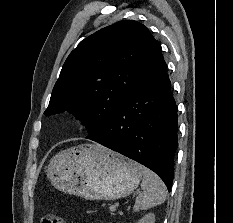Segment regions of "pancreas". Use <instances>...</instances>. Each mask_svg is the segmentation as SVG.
<instances>
[{"label": "pancreas", "instance_id": "obj_1", "mask_svg": "<svg viewBox=\"0 0 233 223\" xmlns=\"http://www.w3.org/2000/svg\"><path fill=\"white\" fill-rule=\"evenodd\" d=\"M110 209H111V211H114L115 205H111Z\"/></svg>", "mask_w": 233, "mask_h": 223}]
</instances>
